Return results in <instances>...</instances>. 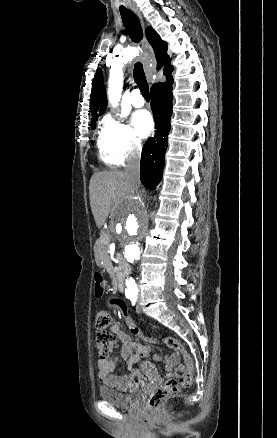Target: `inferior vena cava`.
I'll return each mask as SVG.
<instances>
[{"instance_id":"602c4592","label":"inferior vena cava","mask_w":277,"mask_h":438,"mask_svg":"<svg viewBox=\"0 0 277 438\" xmlns=\"http://www.w3.org/2000/svg\"><path fill=\"white\" fill-rule=\"evenodd\" d=\"M126 178L131 188H136L140 184V152H134L133 156H129L127 166L125 168Z\"/></svg>"}]
</instances>
